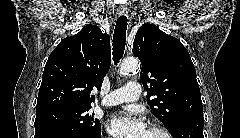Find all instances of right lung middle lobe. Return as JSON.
Segmentation results:
<instances>
[{"instance_id": "obj_1", "label": "right lung middle lobe", "mask_w": 240, "mask_h": 138, "mask_svg": "<svg viewBox=\"0 0 240 138\" xmlns=\"http://www.w3.org/2000/svg\"><path fill=\"white\" fill-rule=\"evenodd\" d=\"M90 107L64 108L36 115L35 128L51 125L69 127L81 134L93 136L101 133V124L94 114H88Z\"/></svg>"}]
</instances>
